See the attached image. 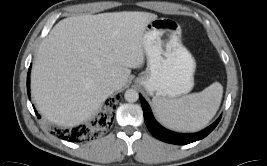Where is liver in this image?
Masks as SVG:
<instances>
[{
	"mask_svg": "<svg viewBox=\"0 0 267 166\" xmlns=\"http://www.w3.org/2000/svg\"><path fill=\"white\" fill-rule=\"evenodd\" d=\"M157 18L123 11L58 22L42 41L31 72L39 111L64 127L88 120L111 94L106 84L117 82L121 89L131 68L144 64V33Z\"/></svg>",
	"mask_w": 267,
	"mask_h": 166,
	"instance_id": "obj_1",
	"label": "liver"
}]
</instances>
